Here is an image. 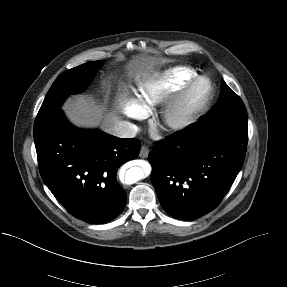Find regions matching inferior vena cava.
Here are the masks:
<instances>
[{"mask_svg": "<svg viewBox=\"0 0 287 287\" xmlns=\"http://www.w3.org/2000/svg\"><path fill=\"white\" fill-rule=\"evenodd\" d=\"M109 133L119 138H134L137 134V126L127 121H116Z\"/></svg>", "mask_w": 287, "mask_h": 287, "instance_id": "obj_1", "label": "inferior vena cava"}]
</instances>
